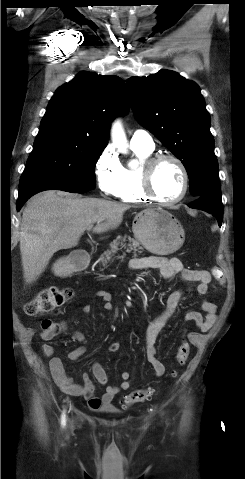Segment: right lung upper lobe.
I'll return each mask as SVG.
<instances>
[{
    "label": "right lung upper lobe",
    "instance_id": "right-lung-upper-lobe-1",
    "mask_svg": "<svg viewBox=\"0 0 245 479\" xmlns=\"http://www.w3.org/2000/svg\"><path fill=\"white\" fill-rule=\"evenodd\" d=\"M128 108L121 78L84 71L57 89L39 130L66 131L106 147L111 121Z\"/></svg>",
    "mask_w": 245,
    "mask_h": 479
}]
</instances>
